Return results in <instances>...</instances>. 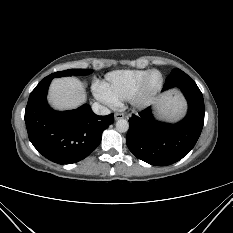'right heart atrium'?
I'll list each match as a JSON object with an SVG mask.
<instances>
[{
	"label": "right heart atrium",
	"mask_w": 233,
	"mask_h": 233,
	"mask_svg": "<svg viewBox=\"0 0 233 233\" xmlns=\"http://www.w3.org/2000/svg\"><path fill=\"white\" fill-rule=\"evenodd\" d=\"M95 95L99 100L107 104H111V105L116 104L115 100L108 94V92L106 91V89L103 87L102 84H97L95 86Z\"/></svg>",
	"instance_id": "1"
}]
</instances>
